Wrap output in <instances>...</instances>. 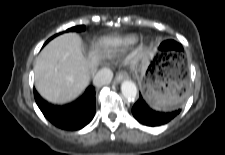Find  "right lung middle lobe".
I'll list each match as a JSON object with an SVG mask.
<instances>
[{"label":"right lung middle lobe","mask_w":225,"mask_h":155,"mask_svg":"<svg viewBox=\"0 0 225 155\" xmlns=\"http://www.w3.org/2000/svg\"><path fill=\"white\" fill-rule=\"evenodd\" d=\"M84 30H85V26L82 25V26L72 27V28L68 29L67 31H84Z\"/></svg>","instance_id":"1"}]
</instances>
